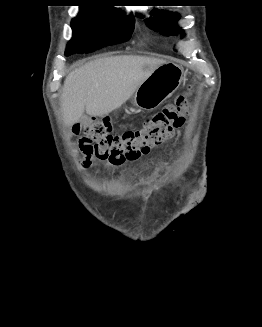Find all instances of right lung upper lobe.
<instances>
[{"instance_id":"cb5924a9","label":"right lung upper lobe","mask_w":262,"mask_h":327,"mask_svg":"<svg viewBox=\"0 0 262 327\" xmlns=\"http://www.w3.org/2000/svg\"><path fill=\"white\" fill-rule=\"evenodd\" d=\"M83 3H86L85 5H82L80 9H88V10H104V11H112V12H118L123 13L120 10L106 5L105 3H108V0H82ZM133 16V15H131Z\"/></svg>"}]
</instances>
